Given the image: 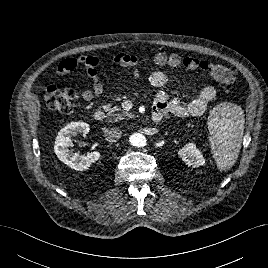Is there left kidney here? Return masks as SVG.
<instances>
[{
	"mask_svg": "<svg viewBox=\"0 0 268 268\" xmlns=\"http://www.w3.org/2000/svg\"><path fill=\"white\" fill-rule=\"evenodd\" d=\"M179 157L185 162L189 167H199L205 164V159L196 145L192 142L187 143L184 147L178 151Z\"/></svg>",
	"mask_w": 268,
	"mask_h": 268,
	"instance_id": "obj_1",
	"label": "left kidney"
}]
</instances>
